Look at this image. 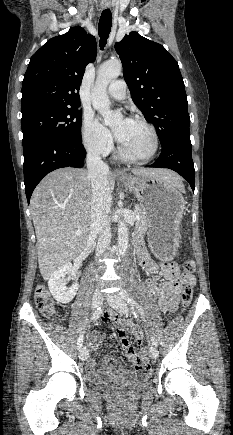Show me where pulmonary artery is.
<instances>
[{"label": "pulmonary artery", "instance_id": "pulmonary-artery-1", "mask_svg": "<svg viewBox=\"0 0 233 435\" xmlns=\"http://www.w3.org/2000/svg\"><path fill=\"white\" fill-rule=\"evenodd\" d=\"M107 93L109 97L116 99V100H122L125 98L126 93V84L122 80H116L110 83Z\"/></svg>", "mask_w": 233, "mask_h": 435}]
</instances>
